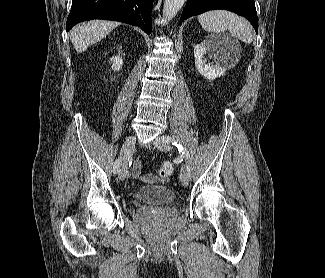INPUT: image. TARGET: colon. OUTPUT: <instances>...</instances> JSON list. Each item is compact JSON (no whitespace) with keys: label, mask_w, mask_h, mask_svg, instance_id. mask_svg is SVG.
<instances>
[{"label":"colon","mask_w":325,"mask_h":278,"mask_svg":"<svg viewBox=\"0 0 325 278\" xmlns=\"http://www.w3.org/2000/svg\"><path fill=\"white\" fill-rule=\"evenodd\" d=\"M174 172V166L171 162H165L161 165L158 171L159 178L161 180L168 179ZM146 181H153L154 178L152 176H145Z\"/></svg>","instance_id":"colon-1"}]
</instances>
